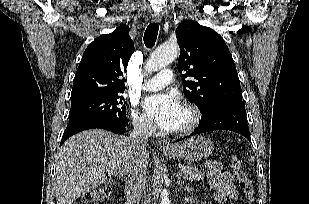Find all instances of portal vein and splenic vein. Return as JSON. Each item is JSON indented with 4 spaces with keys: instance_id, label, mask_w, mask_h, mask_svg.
<instances>
[{
    "instance_id": "1",
    "label": "portal vein and splenic vein",
    "mask_w": 309,
    "mask_h": 204,
    "mask_svg": "<svg viewBox=\"0 0 309 204\" xmlns=\"http://www.w3.org/2000/svg\"><path fill=\"white\" fill-rule=\"evenodd\" d=\"M181 174H182V169H180L178 171V175H181ZM115 175H117L118 177H122L123 176L121 172H117Z\"/></svg>"
}]
</instances>
